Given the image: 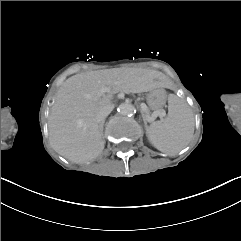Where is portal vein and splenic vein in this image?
Returning a JSON list of instances; mask_svg holds the SVG:
<instances>
[{"label": "portal vein and splenic vein", "instance_id": "obj_1", "mask_svg": "<svg viewBox=\"0 0 241 241\" xmlns=\"http://www.w3.org/2000/svg\"><path fill=\"white\" fill-rule=\"evenodd\" d=\"M140 107H141V112L143 114L144 119L149 123L155 122V120L158 116L162 118L165 115V112L162 109H158L150 115L148 112V107H147L146 103H144V102L141 103Z\"/></svg>", "mask_w": 241, "mask_h": 241}]
</instances>
